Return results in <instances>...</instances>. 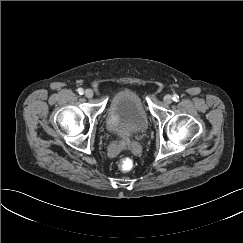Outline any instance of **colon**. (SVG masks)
<instances>
[{
	"instance_id": "1",
	"label": "colon",
	"mask_w": 243,
	"mask_h": 243,
	"mask_svg": "<svg viewBox=\"0 0 243 243\" xmlns=\"http://www.w3.org/2000/svg\"><path fill=\"white\" fill-rule=\"evenodd\" d=\"M133 168V161L129 158H123L119 162V169L121 171L127 172Z\"/></svg>"
}]
</instances>
